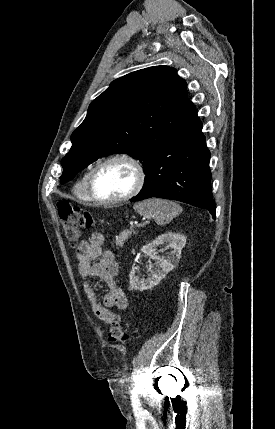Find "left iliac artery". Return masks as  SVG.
<instances>
[{"label": "left iliac artery", "instance_id": "1", "mask_svg": "<svg viewBox=\"0 0 275 429\" xmlns=\"http://www.w3.org/2000/svg\"><path fill=\"white\" fill-rule=\"evenodd\" d=\"M131 400H132L133 406L137 407L139 405V400H138V397H137L135 390L132 391Z\"/></svg>", "mask_w": 275, "mask_h": 429}]
</instances>
